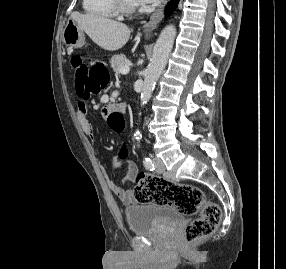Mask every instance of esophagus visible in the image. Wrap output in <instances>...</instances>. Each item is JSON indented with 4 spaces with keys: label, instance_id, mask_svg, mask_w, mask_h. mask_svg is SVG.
<instances>
[{
    "label": "esophagus",
    "instance_id": "esophagus-1",
    "mask_svg": "<svg viewBox=\"0 0 286 269\" xmlns=\"http://www.w3.org/2000/svg\"><path fill=\"white\" fill-rule=\"evenodd\" d=\"M166 3L167 1L152 14L149 21L143 26V32L146 37H150L152 35L153 31L158 27L159 23L163 19Z\"/></svg>",
    "mask_w": 286,
    "mask_h": 269
}]
</instances>
